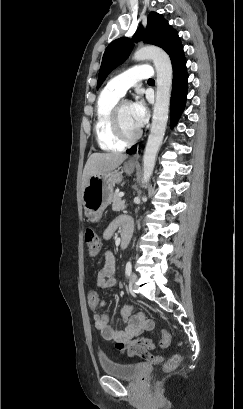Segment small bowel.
Instances as JSON below:
<instances>
[{
    "label": "small bowel",
    "mask_w": 243,
    "mask_h": 409,
    "mask_svg": "<svg viewBox=\"0 0 243 409\" xmlns=\"http://www.w3.org/2000/svg\"><path fill=\"white\" fill-rule=\"evenodd\" d=\"M119 226H122L123 231L126 229L132 231L133 224L128 218H117L104 231L103 238L105 240L110 239ZM103 261V266L97 275L98 286L102 288H112L116 285L114 279L116 259L114 254L111 251H106L103 254ZM103 305L104 302L99 300L96 306H90L93 311L92 317L95 328L101 333L102 337L107 341L113 342L118 351L125 352L130 357L138 356L144 359L154 358V342L142 335L143 332L152 330V321L140 313L130 315L133 307L127 305L120 310L121 324H123L125 328H114L109 324L108 315L98 311Z\"/></svg>",
    "instance_id": "c3829d8e"
}]
</instances>
